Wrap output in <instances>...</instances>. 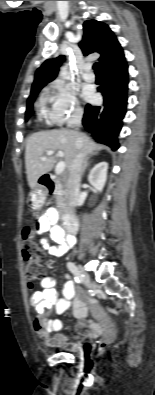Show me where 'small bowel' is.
<instances>
[{"instance_id":"obj_1","label":"small bowel","mask_w":155,"mask_h":395,"mask_svg":"<svg viewBox=\"0 0 155 395\" xmlns=\"http://www.w3.org/2000/svg\"><path fill=\"white\" fill-rule=\"evenodd\" d=\"M57 220L58 212L55 209H48L39 218L36 226L40 233L50 232L55 245H50L47 239H42L40 245L52 256L62 255L76 244L73 235L66 234L56 225ZM41 287L33 288L30 303L36 313L33 320L34 331L45 347H63L68 342L67 336L58 333L62 328V322L48 317L53 307L57 315L64 314L71 307L72 315L78 321L77 328H83L85 325L88 328L84 338L95 337L101 332L100 323L91 321L84 323L88 316V307L81 297L76 296V286L73 281L68 280L64 283L61 297L55 288V279L52 276H44ZM97 311L98 309L94 307V312ZM52 333L56 334L52 335Z\"/></svg>"}]
</instances>
